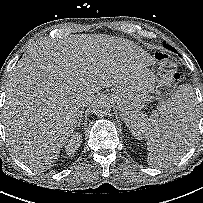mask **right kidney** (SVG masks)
I'll list each match as a JSON object with an SVG mask.
<instances>
[{"label": "right kidney", "instance_id": "1", "mask_svg": "<svg viewBox=\"0 0 203 203\" xmlns=\"http://www.w3.org/2000/svg\"><path fill=\"white\" fill-rule=\"evenodd\" d=\"M81 142H82L81 134L76 133L72 135L67 145L65 146L67 155L69 156L73 155L76 152V150H78Z\"/></svg>", "mask_w": 203, "mask_h": 203}]
</instances>
